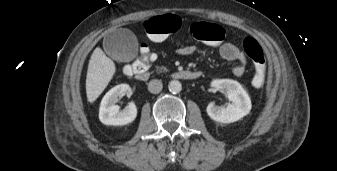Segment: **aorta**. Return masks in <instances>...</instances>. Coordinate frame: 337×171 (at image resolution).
Returning <instances> with one entry per match:
<instances>
[{"mask_svg":"<svg viewBox=\"0 0 337 171\" xmlns=\"http://www.w3.org/2000/svg\"><path fill=\"white\" fill-rule=\"evenodd\" d=\"M169 91L171 93H179L182 90V85L178 80H171L168 84Z\"/></svg>","mask_w":337,"mask_h":171,"instance_id":"obj_1","label":"aorta"}]
</instances>
